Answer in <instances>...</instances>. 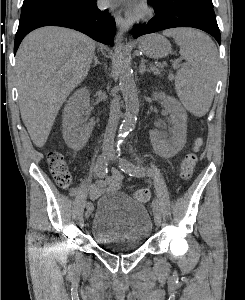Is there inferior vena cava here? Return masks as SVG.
Here are the masks:
<instances>
[{"mask_svg": "<svg viewBox=\"0 0 245 300\" xmlns=\"http://www.w3.org/2000/svg\"><path fill=\"white\" fill-rule=\"evenodd\" d=\"M120 116V104L118 96H115L110 104V114L103 141V150L111 151L114 145V137Z\"/></svg>", "mask_w": 245, "mask_h": 300, "instance_id": "602c4592", "label": "inferior vena cava"}]
</instances>
